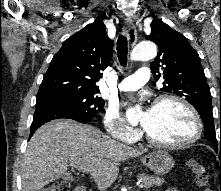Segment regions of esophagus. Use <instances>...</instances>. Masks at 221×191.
<instances>
[{"mask_svg":"<svg viewBox=\"0 0 221 191\" xmlns=\"http://www.w3.org/2000/svg\"><path fill=\"white\" fill-rule=\"evenodd\" d=\"M123 33L128 37L130 42L134 44L137 40V33L134 23L131 19H126L123 26Z\"/></svg>","mask_w":221,"mask_h":191,"instance_id":"esophagus-1","label":"esophagus"}]
</instances>
